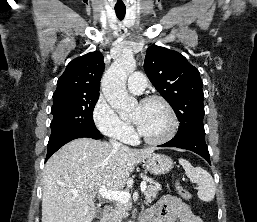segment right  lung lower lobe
I'll return each mask as SVG.
<instances>
[{
  "label": "right lung lower lobe",
  "instance_id": "98d812e1",
  "mask_svg": "<svg viewBox=\"0 0 257 222\" xmlns=\"http://www.w3.org/2000/svg\"><path fill=\"white\" fill-rule=\"evenodd\" d=\"M83 137L100 139L103 136L100 133L99 134H90V133L74 132V133L62 135L53 140H49L48 146H47L48 147L47 156H46L45 161H47L50 158V156L54 152H56L60 147H62L64 144L68 143L71 140H74L77 138H83Z\"/></svg>",
  "mask_w": 257,
  "mask_h": 222
}]
</instances>
